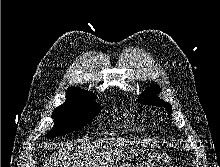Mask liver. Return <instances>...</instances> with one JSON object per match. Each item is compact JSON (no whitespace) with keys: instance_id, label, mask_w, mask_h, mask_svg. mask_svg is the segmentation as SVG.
Here are the masks:
<instances>
[{"instance_id":"obj_1","label":"liver","mask_w":220,"mask_h":167,"mask_svg":"<svg viewBox=\"0 0 220 167\" xmlns=\"http://www.w3.org/2000/svg\"><path fill=\"white\" fill-rule=\"evenodd\" d=\"M130 143L135 141L107 138L66 142L45 160L44 167H113L119 151Z\"/></svg>"}]
</instances>
